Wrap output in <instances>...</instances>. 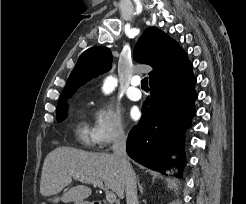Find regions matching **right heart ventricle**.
Segmentation results:
<instances>
[{
  "mask_svg": "<svg viewBox=\"0 0 246 204\" xmlns=\"http://www.w3.org/2000/svg\"><path fill=\"white\" fill-rule=\"evenodd\" d=\"M75 135L79 142L83 145L90 146L94 143L92 139L91 129L83 119H80L78 121L75 128Z\"/></svg>",
  "mask_w": 246,
  "mask_h": 204,
  "instance_id": "e07e8e85",
  "label": "right heart ventricle"
}]
</instances>
